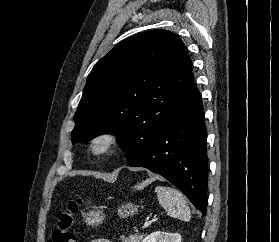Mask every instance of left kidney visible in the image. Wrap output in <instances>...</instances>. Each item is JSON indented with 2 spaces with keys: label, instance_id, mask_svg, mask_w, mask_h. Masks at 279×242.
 <instances>
[{
  "label": "left kidney",
  "instance_id": "1",
  "mask_svg": "<svg viewBox=\"0 0 279 242\" xmlns=\"http://www.w3.org/2000/svg\"><path fill=\"white\" fill-rule=\"evenodd\" d=\"M142 242H181V235L179 233L156 231L145 237Z\"/></svg>",
  "mask_w": 279,
  "mask_h": 242
}]
</instances>
